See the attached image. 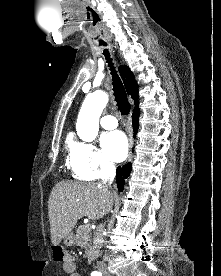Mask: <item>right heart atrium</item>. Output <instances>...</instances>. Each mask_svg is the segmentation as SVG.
Instances as JSON below:
<instances>
[{
	"mask_svg": "<svg viewBox=\"0 0 221 276\" xmlns=\"http://www.w3.org/2000/svg\"><path fill=\"white\" fill-rule=\"evenodd\" d=\"M70 165L74 176L81 180H95L114 172V165L101 150L90 142H75L70 149Z\"/></svg>",
	"mask_w": 221,
	"mask_h": 276,
	"instance_id": "right-heart-atrium-1",
	"label": "right heart atrium"
}]
</instances>
